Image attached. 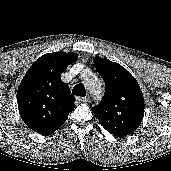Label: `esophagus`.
I'll use <instances>...</instances> for the list:
<instances>
[{"label": "esophagus", "instance_id": "34e87169", "mask_svg": "<svg viewBox=\"0 0 171 171\" xmlns=\"http://www.w3.org/2000/svg\"><path fill=\"white\" fill-rule=\"evenodd\" d=\"M89 100H90V96H85V97L79 98V101H81V102H89Z\"/></svg>", "mask_w": 171, "mask_h": 171}]
</instances>
